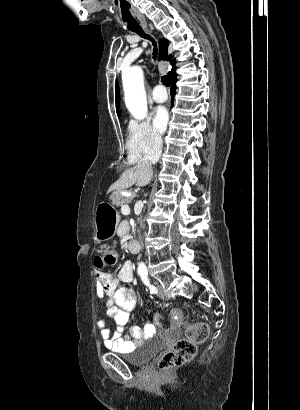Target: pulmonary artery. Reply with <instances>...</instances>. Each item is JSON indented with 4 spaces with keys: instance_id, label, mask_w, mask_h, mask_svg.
Returning a JSON list of instances; mask_svg holds the SVG:
<instances>
[{
    "instance_id": "1",
    "label": "pulmonary artery",
    "mask_w": 300,
    "mask_h": 410,
    "mask_svg": "<svg viewBox=\"0 0 300 410\" xmlns=\"http://www.w3.org/2000/svg\"><path fill=\"white\" fill-rule=\"evenodd\" d=\"M152 98L155 102L162 103L168 98V94L162 85H156L152 90Z\"/></svg>"
}]
</instances>
